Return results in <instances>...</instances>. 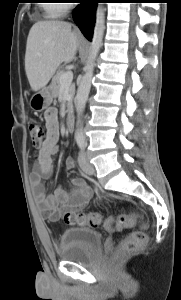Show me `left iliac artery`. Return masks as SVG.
<instances>
[{
    "label": "left iliac artery",
    "mask_w": 181,
    "mask_h": 300,
    "mask_svg": "<svg viewBox=\"0 0 181 300\" xmlns=\"http://www.w3.org/2000/svg\"><path fill=\"white\" fill-rule=\"evenodd\" d=\"M77 143H78V146L81 148V149H84L85 148V140L81 137H78L77 138Z\"/></svg>",
    "instance_id": "1"
}]
</instances>
